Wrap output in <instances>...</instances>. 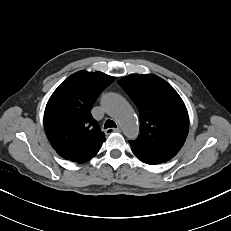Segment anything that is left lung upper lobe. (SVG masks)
Here are the masks:
<instances>
[{"label":"left lung upper lobe","mask_w":231,"mask_h":231,"mask_svg":"<svg viewBox=\"0 0 231 231\" xmlns=\"http://www.w3.org/2000/svg\"><path fill=\"white\" fill-rule=\"evenodd\" d=\"M118 83L140 113V134L129 141L131 149L173 158L189 130L188 112L179 94L168 82L153 74H133Z\"/></svg>","instance_id":"5c2ea615"}]
</instances>
